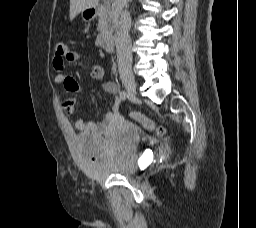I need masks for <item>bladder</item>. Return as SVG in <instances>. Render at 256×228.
Instances as JSON below:
<instances>
[{"label":"bladder","instance_id":"1","mask_svg":"<svg viewBox=\"0 0 256 228\" xmlns=\"http://www.w3.org/2000/svg\"><path fill=\"white\" fill-rule=\"evenodd\" d=\"M140 133L136 127L115 130L105 137L83 134L76 138V151L86 170L95 178L129 176L137 168Z\"/></svg>","mask_w":256,"mask_h":228}]
</instances>
